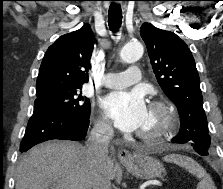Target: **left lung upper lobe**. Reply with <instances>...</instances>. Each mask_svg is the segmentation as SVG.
<instances>
[{"instance_id": "5c2ea615", "label": "left lung upper lobe", "mask_w": 223, "mask_h": 189, "mask_svg": "<svg viewBox=\"0 0 223 189\" xmlns=\"http://www.w3.org/2000/svg\"><path fill=\"white\" fill-rule=\"evenodd\" d=\"M140 34L147 46L156 79L179 112L180 133L172 141L190 143L193 148L208 151V124L199 75L190 49L175 33L158 29L150 23L141 26Z\"/></svg>"}]
</instances>
